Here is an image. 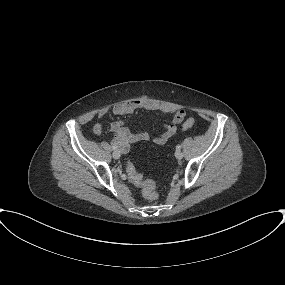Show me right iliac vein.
Segmentation results:
<instances>
[{
  "label": "right iliac vein",
  "instance_id": "obj_1",
  "mask_svg": "<svg viewBox=\"0 0 285 285\" xmlns=\"http://www.w3.org/2000/svg\"><path fill=\"white\" fill-rule=\"evenodd\" d=\"M113 158L118 159L121 156V153L119 150H115L112 154Z\"/></svg>",
  "mask_w": 285,
  "mask_h": 285
}]
</instances>
